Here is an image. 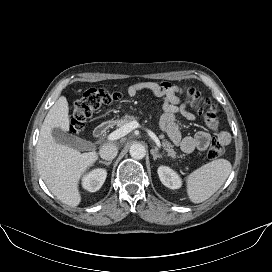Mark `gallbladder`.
I'll return each instance as SVG.
<instances>
[{
  "instance_id": "bac80fb5",
  "label": "gallbladder",
  "mask_w": 272,
  "mask_h": 272,
  "mask_svg": "<svg viewBox=\"0 0 272 272\" xmlns=\"http://www.w3.org/2000/svg\"><path fill=\"white\" fill-rule=\"evenodd\" d=\"M52 136L56 142L70 146L79 151L85 150L88 145V142L86 140L69 134L61 128H54L52 130Z\"/></svg>"
}]
</instances>
